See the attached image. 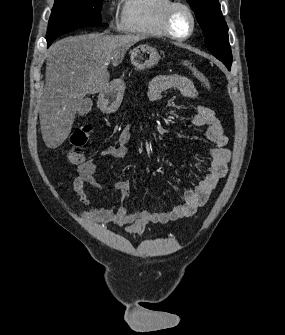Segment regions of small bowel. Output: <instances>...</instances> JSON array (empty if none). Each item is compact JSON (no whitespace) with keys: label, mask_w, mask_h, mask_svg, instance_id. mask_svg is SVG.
Returning <instances> with one entry per match:
<instances>
[{"label":"small bowel","mask_w":285,"mask_h":335,"mask_svg":"<svg viewBox=\"0 0 285 335\" xmlns=\"http://www.w3.org/2000/svg\"><path fill=\"white\" fill-rule=\"evenodd\" d=\"M170 89L178 90L190 100L197 98V92L192 81L178 74L156 77L149 85L148 97L152 101H158ZM192 124L206 128V137L211 143V147L208 150L209 165L206 175L200 182L185 192V200L182 204L162 212L151 210L130 212L123 205L110 208L92 207L87 199V187L100 191L101 186L95 177V162L86 161L79 166L78 174L73 181L74 191L85 205V208L81 210V215L102 226L109 224L127 225L128 232L133 235L143 234L149 224H164L193 216L197 209L207 202L218 181L225 176L230 152L226 148L228 138L211 108L201 104L196 105V113L192 117ZM131 133L132 126L126 125L117 136L115 142L104 148L101 155L104 158L115 161L125 158L128 153L127 143L130 140ZM116 187L122 196L128 195L130 191V183L126 180L118 182Z\"/></svg>","instance_id":"small-bowel-1"}]
</instances>
